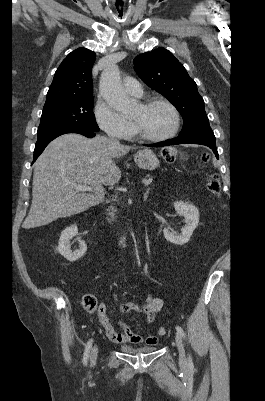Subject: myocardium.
<instances>
[{
  "mask_svg": "<svg viewBox=\"0 0 265 401\" xmlns=\"http://www.w3.org/2000/svg\"><path fill=\"white\" fill-rule=\"evenodd\" d=\"M156 104H162L164 106H166L167 108H169L173 115H174V120H175V124L174 127L172 128L171 131L163 134V135H159V136H149V135H145L140 133L139 128L137 126L136 123L133 122V126H134V130L135 132L139 135V137L141 139L147 140V141H152V142H157V141H162V140H166L168 138L173 137L174 135H176L180 129L181 126V116L180 113L178 111V109L169 101L165 100V99H161V98H153V99H149L146 100L144 102H142V106L145 108L151 107L153 105Z\"/></svg>",
  "mask_w": 265,
  "mask_h": 401,
  "instance_id": "myocardium-1",
  "label": "myocardium"
}]
</instances>
